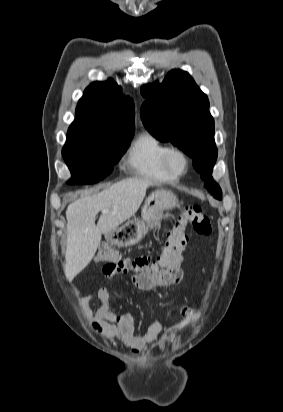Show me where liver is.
I'll list each match as a JSON object with an SVG mask.
<instances>
[{"label": "liver", "mask_w": 283, "mask_h": 412, "mask_svg": "<svg viewBox=\"0 0 283 412\" xmlns=\"http://www.w3.org/2000/svg\"><path fill=\"white\" fill-rule=\"evenodd\" d=\"M153 182L147 178H130L113 184L94 195L72 202L66 210L67 246L64 272L72 280L91 262L101 235L111 233L138 211L146 190ZM101 214L97 225L95 217Z\"/></svg>", "instance_id": "6515ba94"}]
</instances>
